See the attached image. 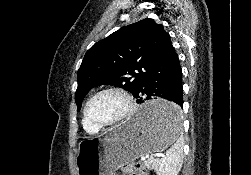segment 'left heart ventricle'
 Returning a JSON list of instances; mask_svg holds the SVG:
<instances>
[{
    "label": "left heart ventricle",
    "mask_w": 251,
    "mask_h": 175,
    "mask_svg": "<svg viewBox=\"0 0 251 175\" xmlns=\"http://www.w3.org/2000/svg\"><path fill=\"white\" fill-rule=\"evenodd\" d=\"M126 111L124 96L117 91H107L98 95L89 108L90 120L101 124L118 121ZM90 125L91 123L88 122Z\"/></svg>",
    "instance_id": "1"
}]
</instances>
